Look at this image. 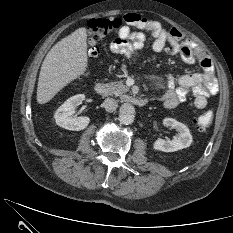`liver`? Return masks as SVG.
I'll return each instance as SVG.
<instances>
[{"label": "liver", "instance_id": "liver-1", "mask_svg": "<svg viewBox=\"0 0 233 233\" xmlns=\"http://www.w3.org/2000/svg\"><path fill=\"white\" fill-rule=\"evenodd\" d=\"M88 67L87 30L79 28L46 55L39 74L37 102H49L60 90L83 75Z\"/></svg>", "mask_w": 233, "mask_h": 233}]
</instances>
